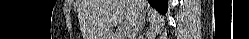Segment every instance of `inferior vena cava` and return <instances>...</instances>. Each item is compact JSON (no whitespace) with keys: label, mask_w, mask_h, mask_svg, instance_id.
<instances>
[{"label":"inferior vena cava","mask_w":249,"mask_h":39,"mask_svg":"<svg viewBox=\"0 0 249 39\" xmlns=\"http://www.w3.org/2000/svg\"><path fill=\"white\" fill-rule=\"evenodd\" d=\"M141 18H142V9L141 4L138 3V9L136 10V14L131 23V26L126 29L125 37L128 39H134L136 34L139 32L141 26Z\"/></svg>","instance_id":"602c4592"}]
</instances>
